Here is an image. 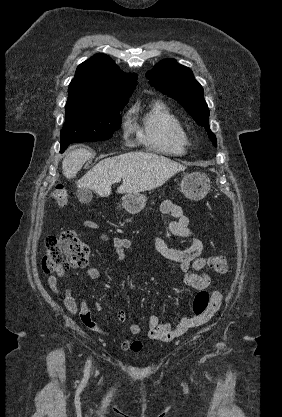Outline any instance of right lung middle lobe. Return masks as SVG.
Listing matches in <instances>:
<instances>
[{"mask_svg": "<svg viewBox=\"0 0 282 417\" xmlns=\"http://www.w3.org/2000/svg\"><path fill=\"white\" fill-rule=\"evenodd\" d=\"M131 95H68L61 130V148L75 142L102 141L120 128L123 109Z\"/></svg>", "mask_w": 282, "mask_h": 417, "instance_id": "obj_1", "label": "right lung middle lobe"}]
</instances>
